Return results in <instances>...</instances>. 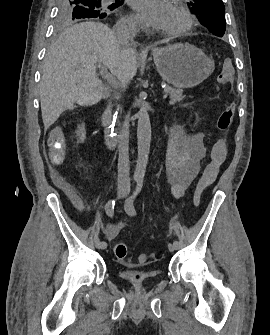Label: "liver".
<instances>
[{
    "label": "liver",
    "instance_id": "6515ba94",
    "mask_svg": "<svg viewBox=\"0 0 270 335\" xmlns=\"http://www.w3.org/2000/svg\"><path fill=\"white\" fill-rule=\"evenodd\" d=\"M131 46L130 42L118 44L113 30L101 22H81L61 32L43 62L40 100L44 126L54 124L74 104L85 106L102 96L103 84L96 76L98 62L113 76L132 80L137 60Z\"/></svg>",
    "mask_w": 270,
    "mask_h": 335
}]
</instances>
